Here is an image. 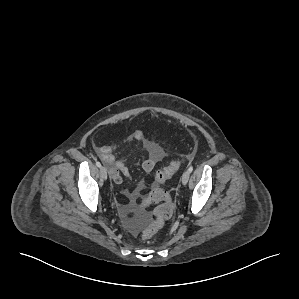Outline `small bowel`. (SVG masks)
<instances>
[{
    "instance_id": "1",
    "label": "small bowel",
    "mask_w": 299,
    "mask_h": 299,
    "mask_svg": "<svg viewBox=\"0 0 299 299\" xmlns=\"http://www.w3.org/2000/svg\"><path fill=\"white\" fill-rule=\"evenodd\" d=\"M128 142H133L141 146L147 157L142 162V168L145 172L150 173L154 170L156 164L160 162L164 156L163 148L155 141L147 138L142 130L134 131L128 138ZM115 147L113 146H99L97 153L101 161L109 168L110 176L117 184L122 183L123 176H129L130 172L126 166L124 159H117L115 154ZM145 190V186L140 184L133 191H124L123 194L128 199V203L121 207L123 215L129 219L130 215L136 211V199Z\"/></svg>"
}]
</instances>
